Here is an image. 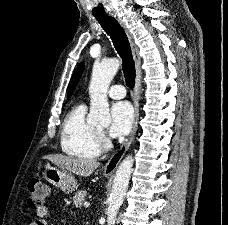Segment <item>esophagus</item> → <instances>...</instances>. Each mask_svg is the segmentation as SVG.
Segmentation results:
<instances>
[{
    "instance_id": "esophagus-1",
    "label": "esophagus",
    "mask_w": 228,
    "mask_h": 225,
    "mask_svg": "<svg viewBox=\"0 0 228 225\" xmlns=\"http://www.w3.org/2000/svg\"><path fill=\"white\" fill-rule=\"evenodd\" d=\"M113 16L117 20L119 25L123 28V30L125 31V33L128 37L133 59L135 62L136 78H135V88H134V94H133L135 120L133 122L132 130H131L129 137L126 138V140L121 145L119 150L116 153H114V155H112V157L108 160V162L106 163V165L103 169L104 176L108 177V178L114 175L119 162L122 160L125 153L129 149L133 139L135 138V135L137 132L138 120H139V98H140V88H141V57L139 55V49H138L137 45L135 44L133 35L126 28V25L122 21V19L120 17H118L117 15H113Z\"/></svg>"
}]
</instances>
